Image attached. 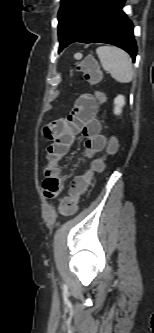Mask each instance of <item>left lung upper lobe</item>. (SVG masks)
<instances>
[{
    "label": "left lung upper lobe",
    "mask_w": 154,
    "mask_h": 333,
    "mask_svg": "<svg viewBox=\"0 0 154 333\" xmlns=\"http://www.w3.org/2000/svg\"><path fill=\"white\" fill-rule=\"evenodd\" d=\"M98 0H61L58 12L59 52L78 29L83 17Z\"/></svg>",
    "instance_id": "1"
}]
</instances>
